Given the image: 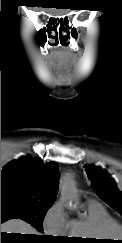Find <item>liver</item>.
Segmentation results:
<instances>
[{
  "mask_svg": "<svg viewBox=\"0 0 122 243\" xmlns=\"http://www.w3.org/2000/svg\"><path fill=\"white\" fill-rule=\"evenodd\" d=\"M1 232L38 235L36 229L20 219H11L1 224Z\"/></svg>",
  "mask_w": 122,
  "mask_h": 243,
  "instance_id": "liver-1",
  "label": "liver"
}]
</instances>
